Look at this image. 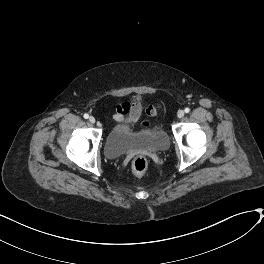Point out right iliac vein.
I'll return each mask as SVG.
<instances>
[{
    "label": "right iliac vein",
    "instance_id": "63e3f726",
    "mask_svg": "<svg viewBox=\"0 0 264 264\" xmlns=\"http://www.w3.org/2000/svg\"><path fill=\"white\" fill-rule=\"evenodd\" d=\"M89 121H90L91 123H95V122H96V119H95L93 116H91V117L89 118Z\"/></svg>",
    "mask_w": 264,
    "mask_h": 264
}]
</instances>
